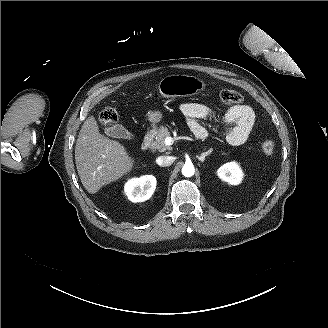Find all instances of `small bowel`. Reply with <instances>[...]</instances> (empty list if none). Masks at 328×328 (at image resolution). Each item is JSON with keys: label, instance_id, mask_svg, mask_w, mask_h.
Wrapping results in <instances>:
<instances>
[{"label": "small bowel", "instance_id": "small-bowel-1", "mask_svg": "<svg viewBox=\"0 0 328 328\" xmlns=\"http://www.w3.org/2000/svg\"><path fill=\"white\" fill-rule=\"evenodd\" d=\"M179 109L185 116L193 134L199 139L205 138L207 131L199 123V120L214 118L215 112L204 104L192 102L181 104ZM222 120L225 124L231 126L226 135L227 141L231 145L239 146L247 141L251 133L255 122V113L248 105H234L227 110Z\"/></svg>", "mask_w": 328, "mask_h": 328}]
</instances>
